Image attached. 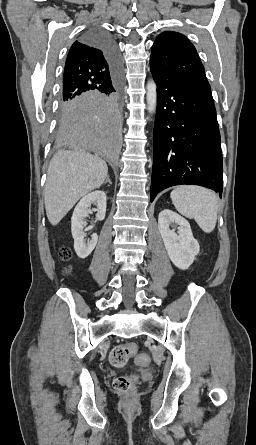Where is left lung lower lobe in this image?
I'll return each instance as SVG.
<instances>
[{
	"mask_svg": "<svg viewBox=\"0 0 256 445\" xmlns=\"http://www.w3.org/2000/svg\"><path fill=\"white\" fill-rule=\"evenodd\" d=\"M157 84L151 202L181 184L222 194V152L211 90L151 69Z\"/></svg>",
	"mask_w": 256,
	"mask_h": 445,
	"instance_id": "obj_1",
	"label": "left lung lower lobe"
}]
</instances>
